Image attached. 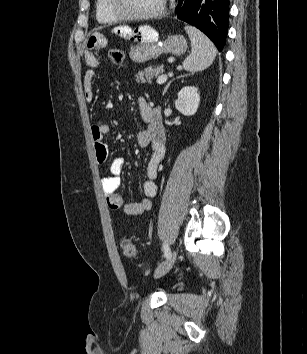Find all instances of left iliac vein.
<instances>
[{"instance_id":"1","label":"left iliac vein","mask_w":307,"mask_h":354,"mask_svg":"<svg viewBox=\"0 0 307 354\" xmlns=\"http://www.w3.org/2000/svg\"><path fill=\"white\" fill-rule=\"evenodd\" d=\"M176 255H177L176 250H173L170 253L169 257H167V259L156 269L154 273L155 278H160L171 270L176 260Z\"/></svg>"}]
</instances>
